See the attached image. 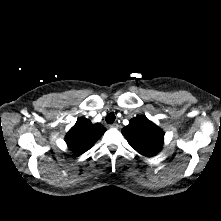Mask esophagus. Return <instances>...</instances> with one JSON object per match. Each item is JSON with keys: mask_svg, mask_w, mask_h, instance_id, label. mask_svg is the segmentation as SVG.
Masks as SVG:
<instances>
[{"mask_svg": "<svg viewBox=\"0 0 221 221\" xmlns=\"http://www.w3.org/2000/svg\"><path fill=\"white\" fill-rule=\"evenodd\" d=\"M111 128H115V129H118L119 128V124L117 123H113L110 125Z\"/></svg>", "mask_w": 221, "mask_h": 221, "instance_id": "34e87169", "label": "esophagus"}]
</instances>
